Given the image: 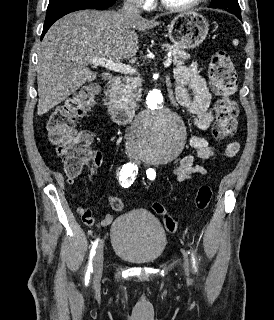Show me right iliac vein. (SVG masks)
<instances>
[{
  "instance_id": "right-iliac-vein-1",
  "label": "right iliac vein",
  "mask_w": 274,
  "mask_h": 320,
  "mask_svg": "<svg viewBox=\"0 0 274 320\" xmlns=\"http://www.w3.org/2000/svg\"><path fill=\"white\" fill-rule=\"evenodd\" d=\"M103 248L104 245L100 244L97 248L96 255L94 257V267H93V284L98 286L101 281L102 273H103Z\"/></svg>"
}]
</instances>
